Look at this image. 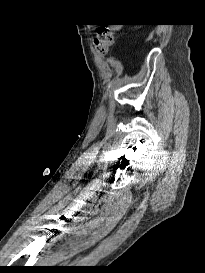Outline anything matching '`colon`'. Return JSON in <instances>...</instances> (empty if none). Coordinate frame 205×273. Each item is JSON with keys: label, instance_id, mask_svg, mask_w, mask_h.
Segmentation results:
<instances>
[{"label": "colon", "instance_id": "colon-1", "mask_svg": "<svg viewBox=\"0 0 205 273\" xmlns=\"http://www.w3.org/2000/svg\"><path fill=\"white\" fill-rule=\"evenodd\" d=\"M114 43V37L111 29L106 26H101L97 30L96 37L93 41V46L96 52L104 56L108 54Z\"/></svg>", "mask_w": 205, "mask_h": 273}]
</instances>
